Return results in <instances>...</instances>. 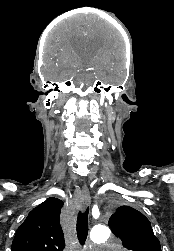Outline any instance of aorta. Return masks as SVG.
<instances>
[{
    "label": "aorta",
    "instance_id": "1",
    "mask_svg": "<svg viewBox=\"0 0 174 251\" xmlns=\"http://www.w3.org/2000/svg\"><path fill=\"white\" fill-rule=\"evenodd\" d=\"M90 238L94 244H103L110 238V230L107 226L99 224L92 229Z\"/></svg>",
    "mask_w": 174,
    "mask_h": 251
}]
</instances>
